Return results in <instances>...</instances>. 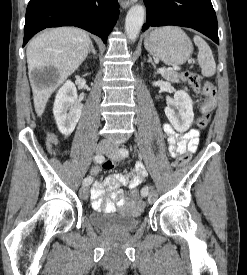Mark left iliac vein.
Returning a JSON list of instances; mask_svg holds the SVG:
<instances>
[{"label":"left iliac vein","mask_w":247,"mask_h":275,"mask_svg":"<svg viewBox=\"0 0 247 275\" xmlns=\"http://www.w3.org/2000/svg\"><path fill=\"white\" fill-rule=\"evenodd\" d=\"M107 156L115 161H117L119 159L118 157V146L117 145H112L110 147V149L107 151ZM148 194L145 192V190L142 191V196L143 197H146ZM156 196H157V193L156 191H153L150 195H149V202H153L155 201L156 199Z\"/></svg>","instance_id":"4c4485c4"}]
</instances>
